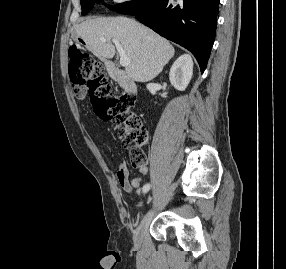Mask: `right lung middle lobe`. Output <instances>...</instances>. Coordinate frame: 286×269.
Returning a JSON list of instances; mask_svg holds the SVG:
<instances>
[{"instance_id": "obj_1", "label": "right lung middle lobe", "mask_w": 286, "mask_h": 269, "mask_svg": "<svg viewBox=\"0 0 286 269\" xmlns=\"http://www.w3.org/2000/svg\"><path fill=\"white\" fill-rule=\"evenodd\" d=\"M103 0H80L82 7V15H86L93 7L95 3L102 2ZM158 0H133L122 4H117L115 7H111L117 12L129 15H135L144 10L153 7Z\"/></svg>"}]
</instances>
